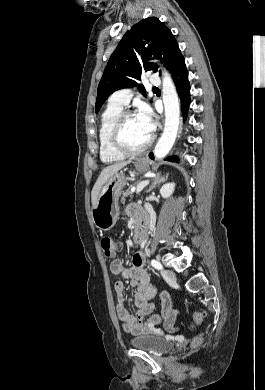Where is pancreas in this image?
<instances>
[{
    "label": "pancreas",
    "mask_w": 265,
    "mask_h": 390,
    "mask_svg": "<svg viewBox=\"0 0 265 390\" xmlns=\"http://www.w3.org/2000/svg\"><path fill=\"white\" fill-rule=\"evenodd\" d=\"M131 194H133V192L131 190V187H129L128 190H126V192L123 193V198Z\"/></svg>",
    "instance_id": "pancreas-1"
}]
</instances>
